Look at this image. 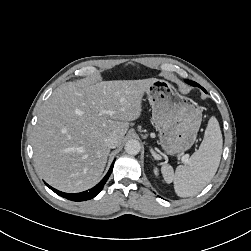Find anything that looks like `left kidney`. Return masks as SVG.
<instances>
[{"label":"left kidney","mask_w":251,"mask_h":251,"mask_svg":"<svg viewBox=\"0 0 251 251\" xmlns=\"http://www.w3.org/2000/svg\"><path fill=\"white\" fill-rule=\"evenodd\" d=\"M153 171H154L155 176L158 177V175H159V170H158V168L155 167Z\"/></svg>","instance_id":"left-kidney-1"}]
</instances>
